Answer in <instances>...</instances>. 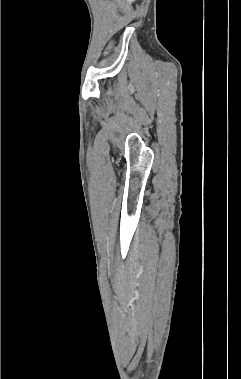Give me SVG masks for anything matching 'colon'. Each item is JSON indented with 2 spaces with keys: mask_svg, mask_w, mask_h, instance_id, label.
Wrapping results in <instances>:
<instances>
[{
  "mask_svg": "<svg viewBox=\"0 0 241 379\" xmlns=\"http://www.w3.org/2000/svg\"><path fill=\"white\" fill-rule=\"evenodd\" d=\"M121 12V11H120ZM129 12V11H128ZM111 55V52H108V56Z\"/></svg>",
  "mask_w": 241,
  "mask_h": 379,
  "instance_id": "5ec220e1",
  "label": "colon"
}]
</instances>
